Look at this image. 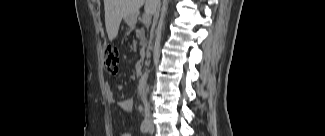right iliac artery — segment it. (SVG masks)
<instances>
[{
  "label": "right iliac artery",
  "mask_w": 325,
  "mask_h": 136,
  "mask_svg": "<svg viewBox=\"0 0 325 136\" xmlns=\"http://www.w3.org/2000/svg\"><path fill=\"white\" fill-rule=\"evenodd\" d=\"M140 129H141V132H143V133H146L148 131V122L146 119L143 120Z\"/></svg>",
  "instance_id": "obj_1"
}]
</instances>
